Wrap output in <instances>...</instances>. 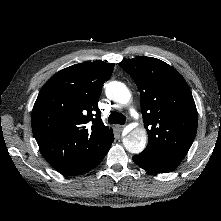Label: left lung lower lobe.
I'll return each instance as SVG.
<instances>
[{
	"instance_id": "left-lung-lower-lobe-1",
	"label": "left lung lower lobe",
	"mask_w": 221,
	"mask_h": 221,
	"mask_svg": "<svg viewBox=\"0 0 221 221\" xmlns=\"http://www.w3.org/2000/svg\"><path fill=\"white\" fill-rule=\"evenodd\" d=\"M135 164L141 168L155 172V173H167L173 171L179 166V162L163 159L146 153H140V155L133 156Z\"/></svg>"
}]
</instances>
